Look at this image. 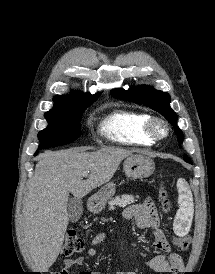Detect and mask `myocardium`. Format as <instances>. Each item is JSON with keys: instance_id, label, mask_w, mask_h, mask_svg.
<instances>
[{"instance_id": "obj_1", "label": "myocardium", "mask_w": 215, "mask_h": 274, "mask_svg": "<svg viewBox=\"0 0 215 274\" xmlns=\"http://www.w3.org/2000/svg\"><path fill=\"white\" fill-rule=\"evenodd\" d=\"M146 133L153 141H160L170 134L169 123L160 117H151L146 124Z\"/></svg>"}]
</instances>
